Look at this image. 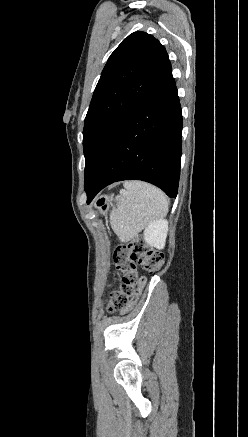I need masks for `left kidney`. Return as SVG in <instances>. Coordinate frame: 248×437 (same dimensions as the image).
I'll list each match as a JSON object with an SVG mask.
<instances>
[{"label": "left kidney", "mask_w": 248, "mask_h": 437, "mask_svg": "<svg viewBox=\"0 0 248 437\" xmlns=\"http://www.w3.org/2000/svg\"><path fill=\"white\" fill-rule=\"evenodd\" d=\"M168 232V222L164 219H157L151 222L144 230V240L151 247L159 250L165 246Z\"/></svg>", "instance_id": "1"}]
</instances>
